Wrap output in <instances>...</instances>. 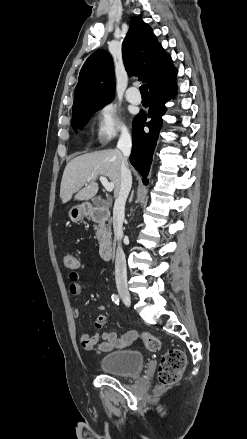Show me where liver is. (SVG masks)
Instances as JSON below:
<instances>
[{
  "label": "liver",
  "mask_w": 247,
  "mask_h": 439,
  "mask_svg": "<svg viewBox=\"0 0 247 439\" xmlns=\"http://www.w3.org/2000/svg\"><path fill=\"white\" fill-rule=\"evenodd\" d=\"M123 154L118 149L95 151L75 157L64 169L60 197L63 203L71 200H89L98 192V176L108 177L114 183V196L120 191V168Z\"/></svg>",
  "instance_id": "1"
}]
</instances>
